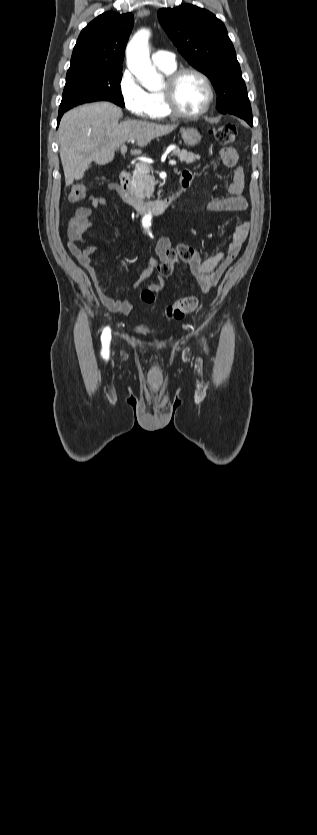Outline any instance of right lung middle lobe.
Wrapping results in <instances>:
<instances>
[{"label":"right lung middle lobe","mask_w":317,"mask_h":835,"mask_svg":"<svg viewBox=\"0 0 317 835\" xmlns=\"http://www.w3.org/2000/svg\"><path fill=\"white\" fill-rule=\"evenodd\" d=\"M122 68L78 66L69 68L59 111L87 102L111 101L124 107L120 81Z\"/></svg>","instance_id":"obj_1"}]
</instances>
